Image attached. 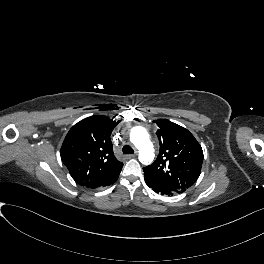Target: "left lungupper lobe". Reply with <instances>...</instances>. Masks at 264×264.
Listing matches in <instances>:
<instances>
[{"label": "left lung upper lobe", "instance_id": "5c2ea615", "mask_svg": "<svg viewBox=\"0 0 264 264\" xmlns=\"http://www.w3.org/2000/svg\"><path fill=\"white\" fill-rule=\"evenodd\" d=\"M157 123L160 151L154 163L143 168L145 181L183 193L200 175L202 148L184 127L168 120L159 119Z\"/></svg>", "mask_w": 264, "mask_h": 264}]
</instances>
